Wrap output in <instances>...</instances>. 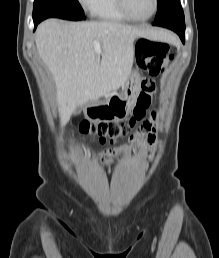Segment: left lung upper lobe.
I'll list each match as a JSON object with an SVG mask.
<instances>
[{
	"mask_svg": "<svg viewBox=\"0 0 219 258\" xmlns=\"http://www.w3.org/2000/svg\"><path fill=\"white\" fill-rule=\"evenodd\" d=\"M158 8L155 21L171 18L184 19V13L180 0H157Z\"/></svg>",
	"mask_w": 219,
	"mask_h": 258,
	"instance_id": "left-lung-upper-lobe-1",
	"label": "left lung upper lobe"
}]
</instances>
